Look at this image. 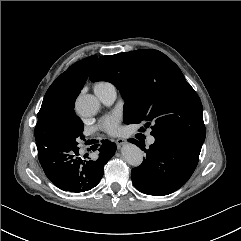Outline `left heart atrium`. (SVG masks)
I'll return each mask as SVG.
<instances>
[{"label":"left heart atrium","mask_w":241,"mask_h":241,"mask_svg":"<svg viewBox=\"0 0 241 241\" xmlns=\"http://www.w3.org/2000/svg\"><path fill=\"white\" fill-rule=\"evenodd\" d=\"M119 121V115L108 116L101 121L100 127L107 133L115 134L119 131Z\"/></svg>","instance_id":"obj_1"}]
</instances>
